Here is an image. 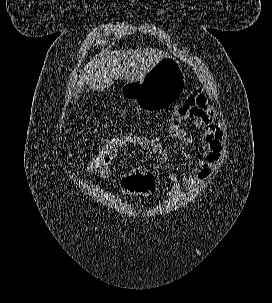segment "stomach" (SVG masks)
<instances>
[{
  "mask_svg": "<svg viewBox=\"0 0 272 303\" xmlns=\"http://www.w3.org/2000/svg\"><path fill=\"white\" fill-rule=\"evenodd\" d=\"M184 88L185 76L179 61L167 55L144 77L124 84L120 92L141 109L157 110L177 100Z\"/></svg>",
  "mask_w": 272,
  "mask_h": 303,
  "instance_id": "stomach-1",
  "label": "stomach"
}]
</instances>
